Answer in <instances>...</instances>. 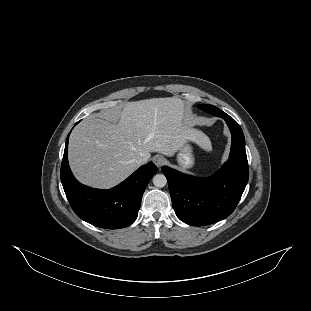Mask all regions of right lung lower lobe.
<instances>
[{
  "instance_id": "obj_1",
  "label": "right lung lower lobe",
  "mask_w": 311,
  "mask_h": 311,
  "mask_svg": "<svg viewBox=\"0 0 311 311\" xmlns=\"http://www.w3.org/2000/svg\"><path fill=\"white\" fill-rule=\"evenodd\" d=\"M68 140L61 164V182L73 211L84 221L106 229L132 224L138 215L144 190L157 171L152 163L141 166L114 188L99 190L79 183L68 165Z\"/></svg>"
}]
</instances>
